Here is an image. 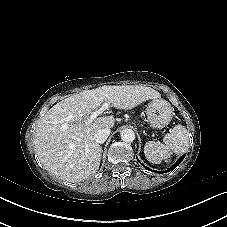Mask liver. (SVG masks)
I'll use <instances>...</instances> for the list:
<instances>
[{
  "label": "liver",
  "instance_id": "1",
  "mask_svg": "<svg viewBox=\"0 0 227 227\" xmlns=\"http://www.w3.org/2000/svg\"><path fill=\"white\" fill-rule=\"evenodd\" d=\"M157 98L160 93L150 87L124 85L83 91L60 101L41 118L34 132L40 163L63 181L81 182L92 177L99 169L102 155L94 134L115 125L113 116L89 122L92 111L104 103L128 110Z\"/></svg>",
  "mask_w": 227,
  "mask_h": 227
}]
</instances>
